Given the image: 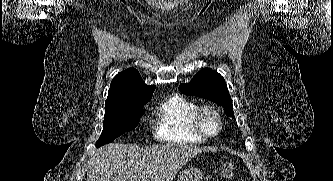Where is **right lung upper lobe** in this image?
<instances>
[{
    "label": "right lung upper lobe",
    "instance_id": "1",
    "mask_svg": "<svg viewBox=\"0 0 333 181\" xmlns=\"http://www.w3.org/2000/svg\"><path fill=\"white\" fill-rule=\"evenodd\" d=\"M155 86H148L134 68L118 73L111 81L105 111L147 103Z\"/></svg>",
    "mask_w": 333,
    "mask_h": 181
}]
</instances>
